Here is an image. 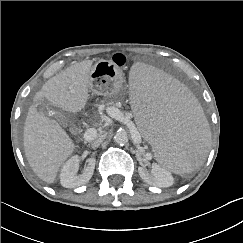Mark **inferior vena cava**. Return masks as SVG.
<instances>
[{
    "label": "inferior vena cava",
    "instance_id": "602c4592",
    "mask_svg": "<svg viewBox=\"0 0 243 243\" xmlns=\"http://www.w3.org/2000/svg\"><path fill=\"white\" fill-rule=\"evenodd\" d=\"M95 131H96V130H95ZM95 136H96V134H95ZM95 136H94V137H95ZM94 137H93L92 139H94ZM103 139H104L103 136H101V137L95 139V140L92 142V147H94V148L98 147V146L102 143ZM90 140H91V139H90Z\"/></svg>",
    "mask_w": 243,
    "mask_h": 243
}]
</instances>
